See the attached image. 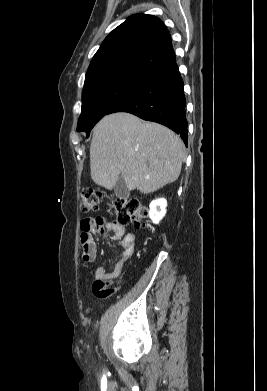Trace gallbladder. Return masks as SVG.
Wrapping results in <instances>:
<instances>
[{"mask_svg": "<svg viewBox=\"0 0 267 391\" xmlns=\"http://www.w3.org/2000/svg\"><path fill=\"white\" fill-rule=\"evenodd\" d=\"M114 192L115 195L120 199H127L129 197V189L121 175L115 184Z\"/></svg>", "mask_w": 267, "mask_h": 391, "instance_id": "bac80fb5", "label": "gallbladder"}]
</instances>
